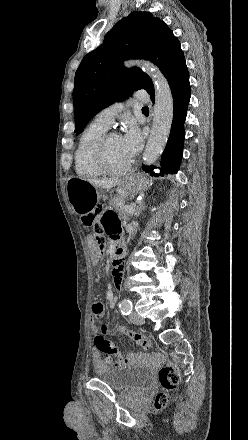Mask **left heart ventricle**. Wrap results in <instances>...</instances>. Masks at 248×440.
<instances>
[{
  "instance_id": "obj_1",
  "label": "left heart ventricle",
  "mask_w": 248,
  "mask_h": 440,
  "mask_svg": "<svg viewBox=\"0 0 248 440\" xmlns=\"http://www.w3.org/2000/svg\"><path fill=\"white\" fill-rule=\"evenodd\" d=\"M107 159L109 165L115 169L123 168L132 161L124 151L119 135L110 137L107 146Z\"/></svg>"
}]
</instances>
